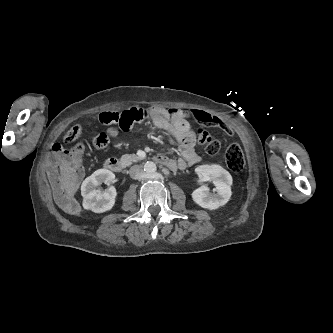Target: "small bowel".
<instances>
[{
  "mask_svg": "<svg viewBox=\"0 0 333 333\" xmlns=\"http://www.w3.org/2000/svg\"><path fill=\"white\" fill-rule=\"evenodd\" d=\"M148 108V107H145ZM155 110V117L150 119L152 124L159 129H164L168 132L170 138L179 144V152L181 158L178 160L169 159L164 157L163 164L169 168L184 169L187 164H197L201 161L200 156L195 151V135L193 134L190 126L189 119L196 121L199 124L205 126H219L220 130L225 133L234 134L235 132L226 125L220 118L209 114L203 110H189L182 111L176 108H163V107H150ZM148 120V119H146ZM144 121V120H143ZM140 122V121H139ZM132 123L122 127L124 131H127ZM119 130L116 127H110L108 133L111 136H116ZM83 158V148L80 146L79 149L72 152H65L61 155L53 154L52 159L56 163L60 164H73L76 166L77 173L79 176L82 175L81 161ZM57 185V182H55ZM73 202L69 201L66 203V208L69 212L72 211Z\"/></svg>",
  "mask_w": 333,
  "mask_h": 333,
  "instance_id": "obj_1",
  "label": "small bowel"
}]
</instances>
